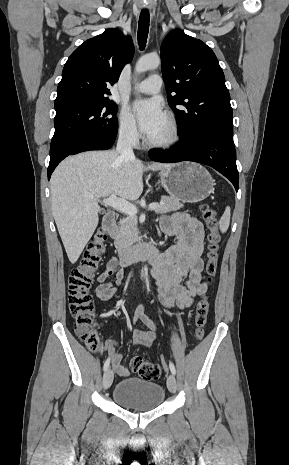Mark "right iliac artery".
Returning <instances> with one entry per match:
<instances>
[{
  "label": "right iliac artery",
  "instance_id": "82829eb1",
  "mask_svg": "<svg viewBox=\"0 0 289 465\" xmlns=\"http://www.w3.org/2000/svg\"><path fill=\"white\" fill-rule=\"evenodd\" d=\"M109 365H110V359L108 358L104 363L103 370L106 371L108 369Z\"/></svg>",
  "mask_w": 289,
  "mask_h": 465
}]
</instances>
